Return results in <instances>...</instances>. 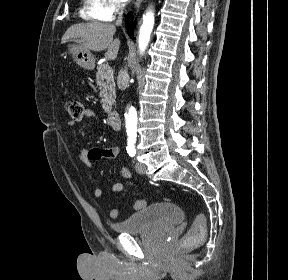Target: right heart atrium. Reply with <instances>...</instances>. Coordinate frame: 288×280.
Instances as JSON below:
<instances>
[{
	"label": "right heart atrium",
	"mask_w": 288,
	"mask_h": 280,
	"mask_svg": "<svg viewBox=\"0 0 288 280\" xmlns=\"http://www.w3.org/2000/svg\"><path fill=\"white\" fill-rule=\"evenodd\" d=\"M100 15L102 20L110 21L123 8L124 0H100Z\"/></svg>",
	"instance_id": "d8ad5b80"
}]
</instances>
